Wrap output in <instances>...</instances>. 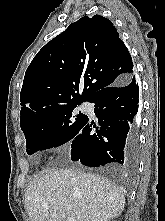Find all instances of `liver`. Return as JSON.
I'll return each instance as SVG.
<instances>
[{
	"label": "liver",
	"instance_id": "1",
	"mask_svg": "<svg viewBox=\"0 0 165 221\" xmlns=\"http://www.w3.org/2000/svg\"><path fill=\"white\" fill-rule=\"evenodd\" d=\"M24 204L30 221H108L122 213L125 198L104 177L75 169H48L33 178Z\"/></svg>",
	"mask_w": 165,
	"mask_h": 221
}]
</instances>
